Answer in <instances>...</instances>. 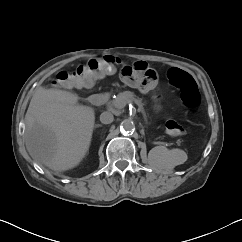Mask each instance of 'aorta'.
Returning a JSON list of instances; mask_svg holds the SVG:
<instances>
[{
    "instance_id": "762f6f07",
    "label": "aorta",
    "mask_w": 242,
    "mask_h": 242,
    "mask_svg": "<svg viewBox=\"0 0 242 242\" xmlns=\"http://www.w3.org/2000/svg\"><path fill=\"white\" fill-rule=\"evenodd\" d=\"M134 130H135V124L132 120L126 119L122 122L121 131L129 133Z\"/></svg>"
}]
</instances>
